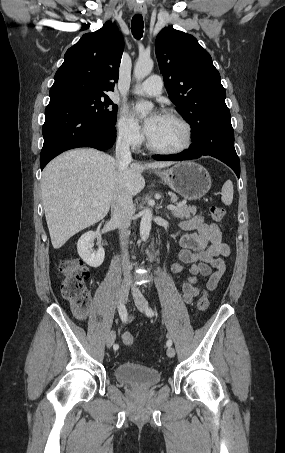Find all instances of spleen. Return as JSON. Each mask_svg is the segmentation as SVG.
<instances>
[{
  "label": "spleen",
  "mask_w": 285,
  "mask_h": 453,
  "mask_svg": "<svg viewBox=\"0 0 285 453\" xmlns=\"http://www.w3.org/2000/svg\"><path fill=\"white\" fill-rule=\"evenodd\" d=\"M233 183L231 180H227L222 187V197L221 200L225 205H231L233 201Z\"/></svg>",
  "instance_id": "3e777b00"
}]
</instances>
